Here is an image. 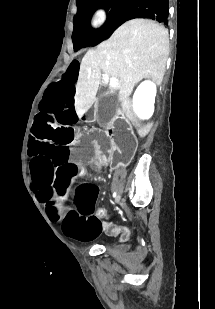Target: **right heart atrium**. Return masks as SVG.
<instances>
[{
  "instance_id": "d8ad5b80",
  "label": "right heart atrium",
  "mask_w": 215,
  "mask_h": 309,
  "mask_svg": "<svg viewBox=\"0 0 215 309\" xmlns=\"http://www.w3.org/2000/svg\"><path fill=\"white\" fill-rule=\"evenodd\" d=\"M106 19V14L104 11H98L95 15H94V21L96 24L101 25L102 28L106 27V24L104 23Z\"/></svg>"
}]
</instances>
